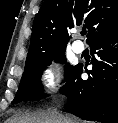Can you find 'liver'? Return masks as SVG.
Masks as SVG:
<instances>
[{"mask_svg": "<svg viewBox=\"0 0 118 123\" xmlns=\"http://www.w3.org/2000/svg\"><path fill=\"white\" fill-rule=\"evenodd\" d=\"M6 123H80V121L56 110H51L15 115L6 120Z\"/></svg>", "mask_w": 118, "mask_h": 123, "instance_id": "1", "label": "liver"}]
</instances>
